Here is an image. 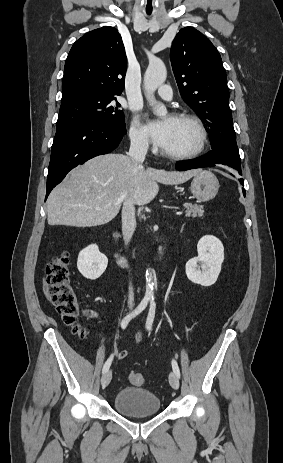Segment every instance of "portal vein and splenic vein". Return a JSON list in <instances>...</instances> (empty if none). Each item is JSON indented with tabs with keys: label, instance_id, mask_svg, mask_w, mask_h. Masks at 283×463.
<instances>
[{
	"label": "portal vein and splenic vein",
	"instance_id": "18ae733b",
	"mask_svg": "<svg viewBox=\"0 0 283 463\" xmlns=\"http://www.w3.org/2000/svg\"><path fill=\"white\" fill-rule=\"evenodd\" d=\"M182 213L181 212H176V215H181Z\"/></svg>",
	"mask_w": 283,
	"mask_h": 463
}]
</instances>
